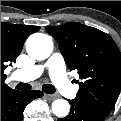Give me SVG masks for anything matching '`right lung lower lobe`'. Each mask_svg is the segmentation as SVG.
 I'll return each mask as SVG.
<instances>
[{
    "label": "right lung lower lobe",
    "instance_id": "1",
    "mask_svg": "<svg viewBox=\"0 0 121 121\" xmlns=\"http://www.w3.org/2000/svg\"><path fill=\"white\" fill-rule=\"evenodd\" d=\"M43 96L41 91L10 90L1 94V121H21L27 104Z\"/></svg>",
    "mask_w": 121,
    "mask_h": 121
}]
</instances>
